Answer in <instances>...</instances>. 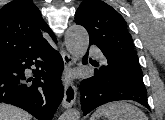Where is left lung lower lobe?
Instances as JSON below:
<instances>
[{
  "label": "left lung lower lobe",
  "mask_w": 165,
  "mask_h": 120,
  "mask_svg": "<svg viewBox=\"0 0 165 120\" xmlns=\"http://www.w3.org/2000/svg\"><path fill=\"white\" fill-rule=\"evenodd\" d=\"M102 53L105 56L104 62H91L96 67L95 74L80 84L83 115L102 104L117 100H134L150 110L143 80L124 73L111 56ZM83 62H87L86 57Z\"/></svg>",
  "instance_id": "1"
}]
</instances>
